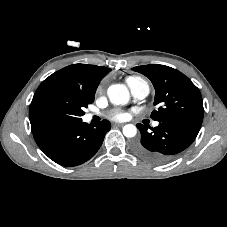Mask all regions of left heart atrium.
I'll use <instances>...</instances> for the list:
<instances>
[{
  "instance_id": "obj_1",
  "label": "left heart atrium",
  "mask_w": 227,
  "mask_h": 227,
  "mask_svg": "<svg viewBox=\"0 0 227 227\" xmlns=\"http://www.w3.org/2000/svg\"><path fill=\"white\" fill-rule=\"evenodd\" d=\"M110 118L115 121H123L127 118V113L123 110H114L110 113Z\"/></svg>"
}]
</instances>
